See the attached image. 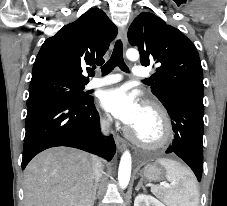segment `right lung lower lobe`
<instances>
[{
  "mask_svg": "<svg viewBox=\"0 0 227 206\" xmlns=\"http://www.w3.org/2000/svg\"><path fill=\"white\" fill-rule=\"evenodd\" d=\"M93 101L42 100L28 105L22 169L35 155L56 146L82 149L111 160L116 146L112 135L103 138Z\"/></svg>",
  "mask_w": 227,
  "mask_h": 206,
  "instance_id": "right-lung-lower-lobe-1",
  "label": "right lung lower lobe"
}]
</instances>
